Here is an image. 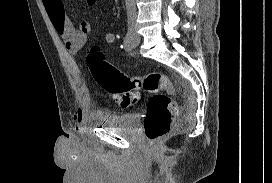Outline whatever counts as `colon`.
<instances>
[{
	"label": "colon",
	"mask_w": 272,
	"mask_h": 183,
	"mask_svg": "<svg viewBox=\"0 0 272 183\" xmlns=\"http://www.w3.org/2000/svg\"><path fill=\"white\" fill-rule=\"evenodd\" d=\"M87 2L93 4L95 0ZM87 64L98 85L122 107L133 105L140 90L151 94L144 121L145 135L151 145L157 144L170 132L177 115V105L170 96L174 88L166 74L151 72L142 77L128 76L108 63L98 47L89 52Z\"/></svg>",
	"instance_id": "1"
}]
</instances>
